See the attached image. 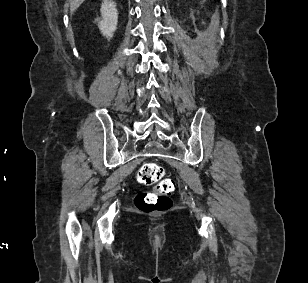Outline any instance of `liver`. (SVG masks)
<instances>
[{
  "mask_svg": "<svg viewBox=\"0 0 308 283\" xmlns=\"http://www.w3.org/2000/svg\"><path fill=\"white\" fill-rule=\"evenodd\" d=\"M85 0H70V11L74 13Z\"/></svg>",
  "mask_w": 308,
  "mask_h": 283,
  "instance_id": "6515ba94",
  "label": "liver"
}]
</instances>
